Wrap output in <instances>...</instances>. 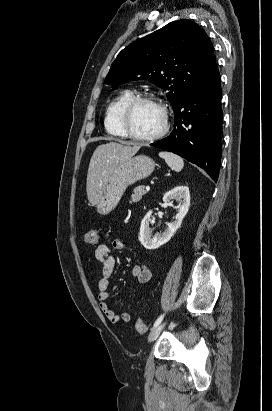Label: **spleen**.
<instances>
[{"label": "spleen", "instance_id": "obj_1", "mask_svg": "<svg viewBox=\"0 0 272 411\" xmlns=\"http://www.w3.org/2000/svg\"><path fill=\"white\" fill-rule=\"evenodd\" d=\"M159 156L165 160V162L176 172H180L184 167L183 159L173 153L162 151L159 152Z\"/></svg>", "mask_w": 272, "mask_h": 411}]
</instances>
